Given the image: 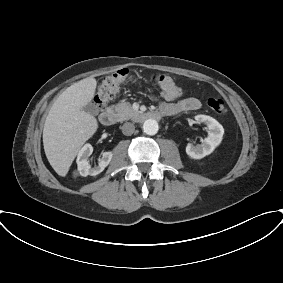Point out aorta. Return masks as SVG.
Segmentation results:
<instances>
[{"label":"aorta","instance_id":"1","mask_svg":"<svg viewBox=\"0 0 283 283\" xmlns=\"http://www.w3.org/2000/svg\"><path fill=\"white\" fill-rule=\"evenodd\" d=\"M159 130V126L156 120L154 119H147L143 124V131L147 135H155Z\"/></svg>","mask_w":283,"mask_h":283}]
</instances>
